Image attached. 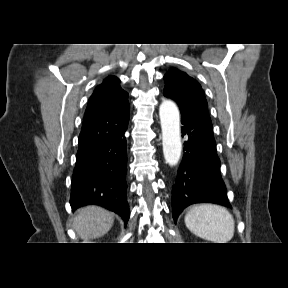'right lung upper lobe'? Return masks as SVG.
I'll list each match as a JSON object with an SVG mask.
<instances>
[{
  "label": "right lung upper lobe",
  "instance_id": "right-lung-upper-lobe-1",
  "mask_svg": "<svg viewBox=\"0 0 288 288\" xmlns=\"http://www.w3.org/2000/svg\"><path fill=\"white\" fill-rule=\"evenodd\" d=\"M119 82L117 77L109 76L91 95L79 135L78 151L107 141L128 126V93L120 88Z\"/></svg>",
  "mask_w": 288,
  "mask_h": 288
}]
</instances>
